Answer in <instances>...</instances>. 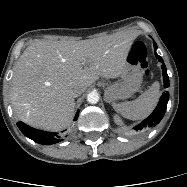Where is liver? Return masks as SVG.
<instances>
[{"label": "liver", "mask_w": 187, "mask_h": 187, "mask_svg": "<svg viewBox=\"0 0 187 187\" xmlns=\"http://www.w3.org/2000/svg\"><path fill=\"white\" fill-rule=\"evenodd\" d=\"M135 35L117 33L81 41L32 42L19 57L11 88L20 120L48 131L66 128L73 117V89L87 90L99 76L117 78L127 67Z\"/></svg>", "instance_id": "6515ba94"}]
</instances>
